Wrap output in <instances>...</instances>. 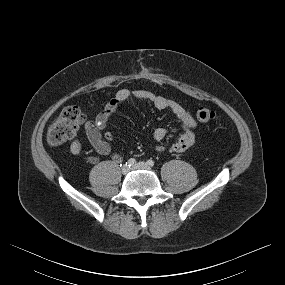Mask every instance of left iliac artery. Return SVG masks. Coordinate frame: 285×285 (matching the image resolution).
I'll return each instance as SVG.
<instances>
[{
    "label": "left iliac artery",
    "mask_w": 285,
    "mask_h": 285,
    "mask_svg": "<svg viewBox=\"0 0 285 285\" xmlns=\"http://www.w3.org/2000/svg\"><path fill=\"white\" fill-rule=\"evenodd\" d=\"M147 164L152 167V166H154V161L151 160V159H149V160L147 161Z\"/></svg>",
    "instance_id": "1"
}]
</instances>
